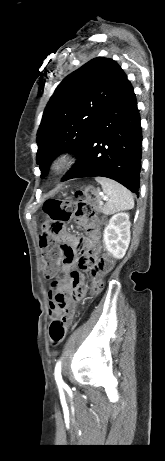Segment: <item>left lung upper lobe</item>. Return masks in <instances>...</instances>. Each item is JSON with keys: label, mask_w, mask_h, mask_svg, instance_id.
<instances>
[{"label": "left lung upper lobe", "mask_w": 165, "mask_h": 461, "mask_svg": "<svg viewBox=\"0 0 165 461\" xmlns=\"http://www.w3.org/2000/svg\"><path fill=\"white\" fill-rule=\"evenodd\" d=\"M127 79L112 59L97 57L68 75L50 98L37 132V164L45 177L60 153L82 148L90 131Z\"/></svg>", "instance_id": "obj_1"}]
</instances>
